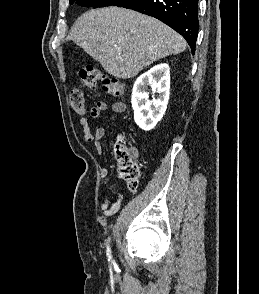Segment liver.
Segmentation results:
<instances>
[{"instance_id":"1","label":"liver","mask_w":259,"mask_h":294,"mask_svg":"<svg viewBox=\"0 0 259 294\" xmlns=\"http://www.w3.org/2000/svg\"><path fill=\"white\" fill-rule=\"evenodd\" d=\"M68 39L110 75L127 79L151 63L183 52L187 43L161 21L133 10L106 7L82 14Z\"/></svg>"}]
</instances>
